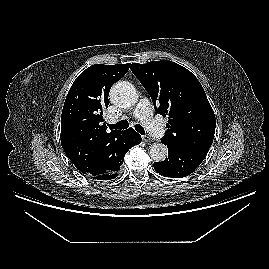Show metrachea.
Returning a JSON list of instances; mask_svg holds the SVG:
<instances>
[{
  "label": "trachea",
  "instance_id": "trachea-1",
  "mask_svg": "<svg viewBox=\"0 0 269 269\" xmlns=\"http://www.w3.org/2000/svg\"><path fill=\"white\" fill-rule=\"evenodd\" d=\"M128 127H129V123L126 120H121L117 124H114V125L109 124L110 129H121L122 130V129H127ZM135 129L140 134H142V135L145 134L144 128L140 124H136Z\"/></svg>",
  "mask_w": 269,
  "mask_h": 269
}]
</instances>
